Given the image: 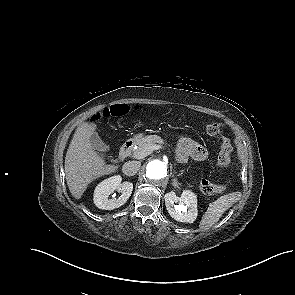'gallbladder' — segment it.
<instances>
[{"label":"gallbladder","instance_id":"gallbladder-1","mask_svg":"<svg viewBox=\"0 0 295 295\" xmlns=\"http://www.w3.org/2000/svg\"><path fill=\"white\" fill-rule=\"evenodd\" d=\"M89 140L95 150L99 152H105L109 150V146L103 142L97 133H93Z\"/></svg>","mask_w":295,"mask_h":295}]
</instances>
